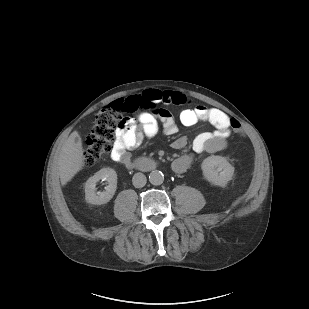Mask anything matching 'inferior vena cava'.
<instances>
[{"mask_svg": "<svg viewBox=\"0 0 309 309\" xmlns=\"http://www.w3.org/2000/svg\"><path fill=\"white\" fill-rule=\"evenodd\" d=\"M132 182L136 188H142L146 185L147 179L143 173H136L133 176Z\"/></svg>", "mask_w": 309, "mask_h": 309, "instance_id": "inferior-vena-cava-1", "label": "inferior vena cava"}]
</instances>
